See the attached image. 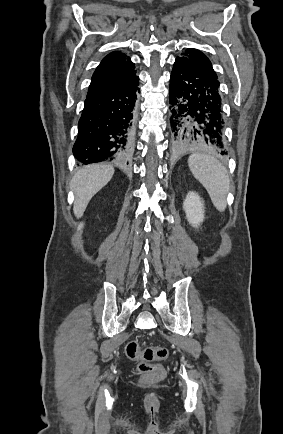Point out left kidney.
Returning a JSON list of instances; mask_svg holds the SVG:
<instances>
[{"mask_svg": "<svg viewBox=\"0 0 283 434\" xmlns=\"http://www.w3.org/2000/svg\"><path fill=\"white\" fill-rule=\"evenodd\" d=\"M186 218L191 226L197 228L204 220V203L195 192H189L183 202Z\"/></svg>", "mask_w": 283, "mask_h": 434, "instance_id": "left-kidney-1", "label": "left kidney"}]
</instances>
